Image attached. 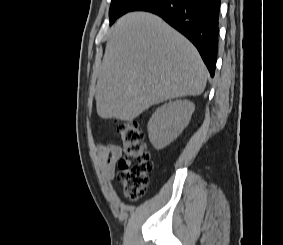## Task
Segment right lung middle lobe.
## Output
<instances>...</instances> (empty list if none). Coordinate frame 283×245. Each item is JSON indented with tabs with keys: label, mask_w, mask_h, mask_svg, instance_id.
<instances>
[{
	"label": "right lung middle lobe",
	"mask_w": 283,
	"mask_h": 245,
	"mask_svg": "<svg viewBox=\"0 0 283 245\" xmlns=\"http://www.w3.org/2000/svg\"><path fill=\"white\" fill-rule=\"evenodd\" d=\"M143 0H112L109 10L110 25L123 14L131 11L138 3Z\"/></svg>",
	"instance_id": "obj_1"
}]
</instances>
